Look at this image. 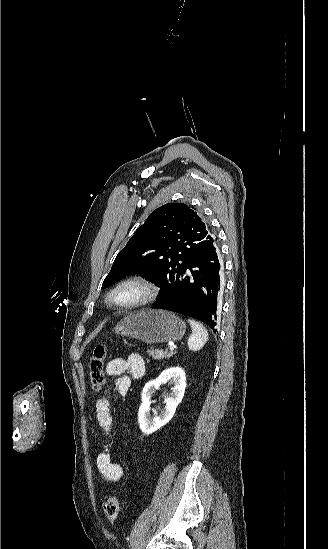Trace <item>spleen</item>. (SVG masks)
<instances>
[{
  "mask_svg": "<svg viewBox=\"0 0 328 549\" xmlns=\"http://www.w3.org/2000/svg\"><path fill=\"white\" fill-rule=\"evenodd\" d=\"M188 323L193 331L192 335H190L188 339L189 351H200L209 339L208 331L205 327H203V325L197 323V321L188 319Z\"/></svg>",
  "mask_w": 328,
  "mask_h": 549,
  "instance_id": "1",
  "label": "spleen"
}]
</instances>
